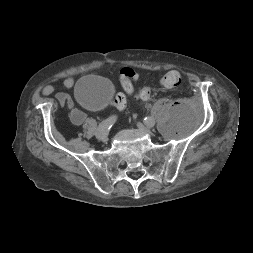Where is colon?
Wrapping results in <instances>:
<instances>
[{
  "mask_svg": "<svg viewBox=\"0 0 253 253\" xmlns=\"http://www.w3.org/2000/svg\"><path fill=\"white\" fill-rule=\"evenodd\" d=\"M137 73L130 67H125L120 71L121 84L126 93L139 100H147L151 96L148 87L135 88L133 81L136 80ZM181 83V76L177 71H169L161 78V84L165 88H175ZM112 104L119 110L126 108V97L122 93L116 94L112 99Z\"/></svg>",
  "mask_w": 253,
  "mask_h": 253,
  "instance_id": "1",
  "label": "colon"
}]
</instances>
